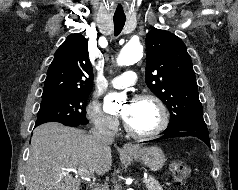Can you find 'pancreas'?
I'll return each mask as SVG.
<instances>
[{
  "mask_svg": "<svg viewBox=\"0 0 238 190\" xmlns=\"http://www.w3.org/2000/svg\"><path fill=\"white\" fill-rule=\"evenodd\" d=\"M146 187H147L148 190H163L160 183L154 178L149 179V183L146 184ZM97 190H103V188L102 189H97Z\"/></svg>",
  "mask_w": 238,
  "mask_h": 190,
  "instance_id": "pancreas-1",
  "label": "pancreas"
}]
</instances>
